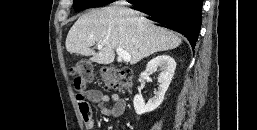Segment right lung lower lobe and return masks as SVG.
Returning <instances> with one entry per match:
<instances>
[{"instance_id":"98d812e1","label":"right lung lower lobe","mask_w":257,"mask_h":130,"mask_svg":"<svg viewBox=\"0 0 257 130\" xmlns=\"http://www.w3.org/2000/svg\"><path fill=\"white\" fill-rule=\"evenodd\" d=\"M203 0H165L140 5L137 9L160 26L183 34L194 49L201 28Z\"/></svg>"}]
</instances>
